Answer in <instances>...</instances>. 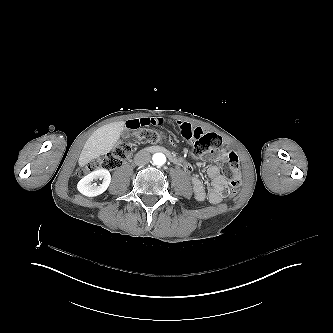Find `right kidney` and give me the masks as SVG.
<instances>
[{
	"mask_svg": "<svg viewBox=\"0 0 333 333\" xmlns=\"http://www.w3.org/2000/svg\"><path fill=\"white\" fill-rule=\"evenodd\" d=\"M103 179L102 184L99 186L92 184L94 179ZM111 182V175L108 170L100 169L91 172L83 177L77 184L78 191L88 197H94L102 194L106 191Z\"/></svg>",
	"mask_w": 333,
	"mask_h": 333,
	"instance_id": "1",
	"label": "right kidney"
}]
</instances>
